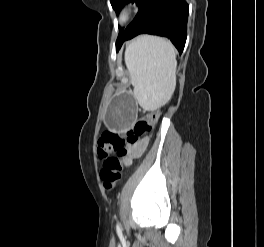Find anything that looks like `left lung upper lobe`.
<instances>
[{
	"instance_id": "obj_1",
	"label": "left lung upper lobe",
	"mask_w": 264,
	"mask_h": 247,
	"mask_svg": "<svg viewBox=\"0 0 264 247\" xmlns=\"http://www.w3.org/2000/svg\"><path fill=\"white\" fill-rule=\"evenodd\" d=\"M144 1L145 0H110V3L112 5L113 9L116 10V13L118 14L120 12V10L122 9V5H124L126 3L136 2V4L138 5V7L140 9V7L142 6ZM123 31H124V29L120 28L118 38L121 36Z\"/></svg>"
}]
</instances>
